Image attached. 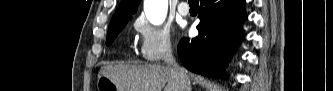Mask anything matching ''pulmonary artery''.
I'll use <instances>...</instances> for the list:
<instances>
[{"label": "pulmonary artery", "instance_id": "1", "mask_svg": "<svg viewBox=\"0 0 333 91\" xmlns=\"http://www.w3.org/2000/svg\"><path fill=\"white\" fill-rule=\"evenodd\" d=\"M177 9H178L179 14L182 16H187L189 14V7L186 4V2H184V1L179 3Z\"/></svg>", "mask_w": 333, "mask_h": 91}]
</instances>
